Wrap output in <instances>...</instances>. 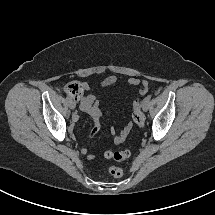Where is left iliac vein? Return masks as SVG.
<instances>
[{
	"mask_svg": "<svg viewBox=\"0 0 215 215\" xmlns=\"http://www.w3.org/2000/svg\"><path fill=\"white\" fill-rule=\"evenodd\" d=\"M150 108V103L149 101H147V103H145V105L142 106L143 111H148V109Z\"/></svg>",
	"mask_w": 215,
	"mask_h": 215,
	"instance_id": "1",
	"label": "left iliac vein"
}]
</instances>
